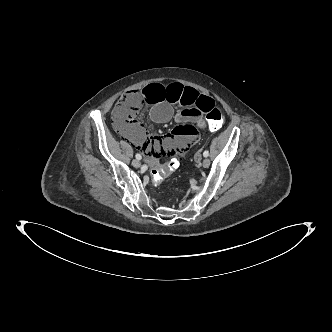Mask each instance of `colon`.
<instances>
[{
  "mask_svg": "<svg viewBox=\"0 0 332 332\" xmlns=\"http://www.w3.org/2000/svg\"><path fill=\"white\" fill-rule=\"evenodd\" d=\"M142 92H129L123 95L117 102L114 109V124L118 128L129 127L135 121L134 118L142 108ZM206 120L212 129L220 128L224 121L225 115L221 107L212 105L206 112ZM181 161L176 157H171L167 162H162L155 166L151 171L152 181L156 184L161 183L172 172H177L181 168Z\"/></svg>",
  "mask_w": 332,
  "mask_h": 332,
  "instance_id": "1",
  "label": "colon"
}]
</instances>
